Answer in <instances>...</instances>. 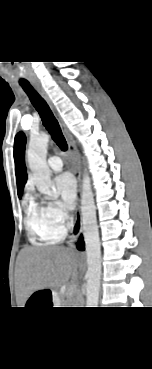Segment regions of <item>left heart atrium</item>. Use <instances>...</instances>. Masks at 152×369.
I'll return each instance as SVG.
<instances>
[{"mask_svg": "<svg viewBox=\"0 0 152 369\" xmlns=\"http://www.w3.org/2000/svg\"><path fill=\"white\" fill-rule=\"evenodd\" d=\"M55 188L60 197V204L65 209H72L76 201V182L70 173H62L54 180Z\"/></svg>", "mask_w": 152, "mask_h": 369, "instance_id": "left-heart-atrium-1", "label": "left heart atrium"}]
</instances>
